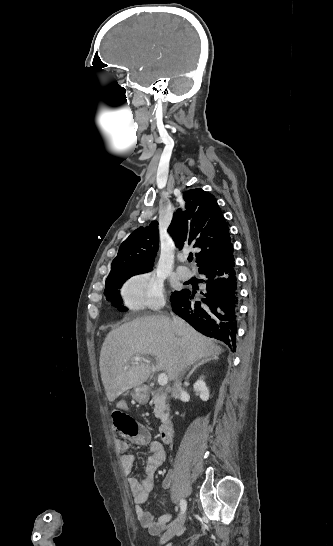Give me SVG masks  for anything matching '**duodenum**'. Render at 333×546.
I'll return each mask as SVG.
<instances>
[{
    "instance_id": "obj_1",
    "label": "duodenum",
    "mask_w": 333,
    "mask_h": 546,
    "mask_svg": "<svg viewBox=\"0 0 333 546\" xmlns=\"http://www.w3.org/2000/svg\"><path fill=\"white\" fill-rule=\"evenodd\" d=\"M174 424L169 417H166L159 429V438L164 443H171L174 438Z\"/></svg>"
}]
</instances>
